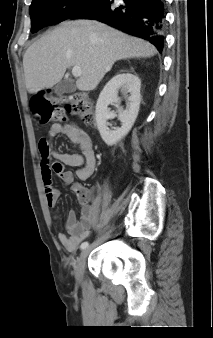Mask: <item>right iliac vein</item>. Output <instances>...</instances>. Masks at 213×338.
Here are the masks:
<instances>
[{"mask_svg":"<svg viewBox=\"0 0 213 338\" xmlns=\"http://www.w3.org/2000/svg\"><path fill=\"white\" fill-rule=\"evenodd\" d=\"M106 237H102L98 240L94 245L82 251L80 257L77 260V264L75 265L74 272H75V279L80 282L83 278L84 267L86 263L87 256L89 252L100 242H102Z\"/></svg>","mask_w":213,"mask_h":338,"instance_id":"63e3f726","label":"right iliac vein"}]
</instances>
